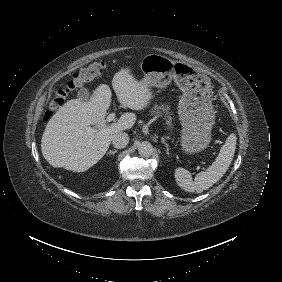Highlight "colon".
Wrapping results in <instances>:
<instances>
[{
	"label": "colon",
	"mask_w": 282,
	"mask_h": 282,
	"mask_svg": "<svg viewBox=\"0 0 282 282\" xmlns=\"http://www.w3.org/2000/svg\"><path fill=\"white\" fill-rule=\"evenodd\" d=\"M107 67L108 64L104 59H97L91 62L86 68L76 73L66 88L58 89L50 98L46 105L43 121L48 122L51 119L54 111L62 105L66 96L72 89L93 81L95 78L99 77Z\"/></svg>",
	"instance_id": "5ec220e1"
}]
</instances>
